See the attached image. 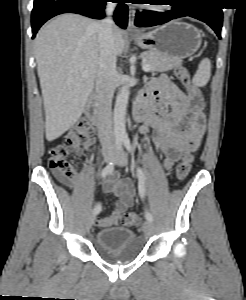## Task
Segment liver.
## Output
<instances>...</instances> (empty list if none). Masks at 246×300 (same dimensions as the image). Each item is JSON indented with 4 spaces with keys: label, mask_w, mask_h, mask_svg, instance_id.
Returning a JSON list of instances; mask_svg holds the SVG:
<instances>
[{
    "label": "liver",
    "mask_w": 246,
    "mask_h": 300,
    "mask_svg": "<svg viewBox=\"0 0 246 300\" xmlns=\"http://www.w3.org/2000/svg\"><path fill=\"white\" fill-rule=\"evenodd\" d=\"M97 33V22L67 13L47 23L35 38L48 141L72 128L84 111L99 69ZM113 35L115 55L120 56L125 47L123 32L114 26Z\"/></svg>",
    "instance_id": "obj_1"
}]
</instances>
